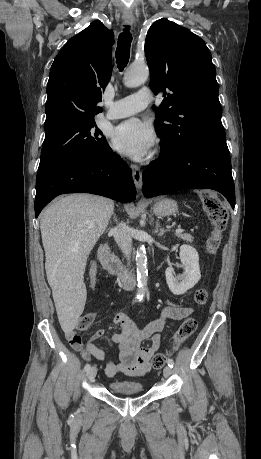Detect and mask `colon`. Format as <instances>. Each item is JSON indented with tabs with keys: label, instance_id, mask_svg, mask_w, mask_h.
I'll return each instance as SVG.
<instances>
[{
	"label": "colon",
	"instance_id": "colon-1",
	"mask_svg": "<svg viewBox=\"0 0 261 459\" xmlns=\"http://www.w3.org/2000/svg\"><path fill=\"white\" fill-rule=\"evenodd\" d=\"M200 198L212 227L206 247L210 254H214L219 246L221 234L227 227L229 213L221 199L214 192L205 191L201 193ZM207 299L208 290L206 287H200L195 291L194 302L197 305H204ZM94 319L95 315L91 312L83 314L77 322V330L86 331L92 326ZM196 328L197 320L187 318L174 333L168 348L152 357V367L154 369L162 368L166 360L195 332Z\"/></svg>",
	"mask_w": 261,
	"mask_h": 459
}]
</instances>
